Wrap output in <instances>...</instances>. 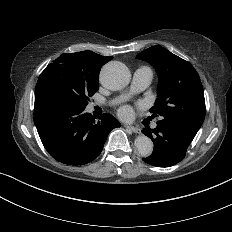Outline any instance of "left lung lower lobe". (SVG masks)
Returning a JSON list of instances; mask_svg holds the SVG:
<instances>
[{
	"label": "left lung lower lobe",
	"mask_w": 232,
	"mask_h": 232,
	"mask_svg": "<svg viewBox=\"0 0 232 232\" xmlns=\"http://www.w3.org/2000/svg\"><path fill=\"white\" fill-rule=\"evenodd\" d=\"M142 133L154 143L152 154L143 161L156 167H170L183 160L192 141L161 125L154 130L146 128Z\"/></svg>",
	"instance_id": "0a47b994"
}]
</instances>
